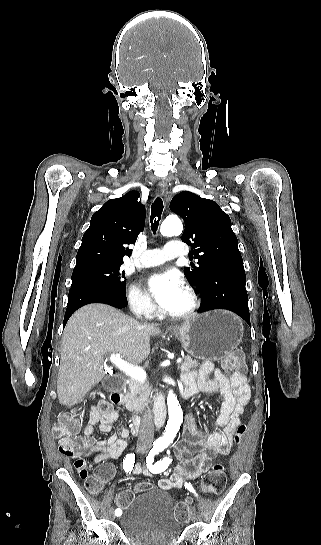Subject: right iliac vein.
I'll list each match as a JSON object with an SVG mask.
<instances>
[{"instance_id":"right-iliac-vein-1","label":"right iliac vein","mask_w":321,"mask_h":545,"mask_svg":"<svg viewBox=\"0 0 321 545\" xmlns=\"http://www.w3.org/2000/svg\"><path fill=\"white\" fill-rule=\"evenodd\" d=\"M138 451L142 453V452H144V449H143V448H140V449H138ZM109 516H110V518H111L112 520L115 519L114 508H111V509H110V511H109Z\"/></svg>"}]
</instances>
